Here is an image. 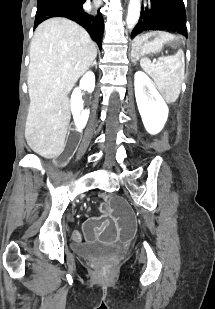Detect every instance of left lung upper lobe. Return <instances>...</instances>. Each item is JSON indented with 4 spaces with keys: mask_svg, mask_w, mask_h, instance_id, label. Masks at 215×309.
Here are the masks:
<instances>
[{
    "mask_svg": "<svg viewBox=\"0 0 215 309\" xmlns=\"http://www.w3.org/2000/svg\"><path fill=\"white\" fill-rule=\"evenodd\" d=\"M152 29H166L187 36L183 0H146L131 36Z\"/></svg>",
    "mask_w": 215,
    "mask_h": 309,
    "instance_id": "left-lung-upper-lobe-1",
    "label": "left lung upper lobe"
}]
</instances>
